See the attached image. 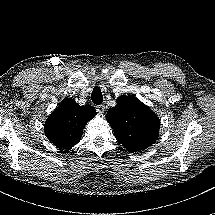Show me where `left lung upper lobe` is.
I'll list each match as a JSON object with an SVG mask.
<instances>
[{"label":"left lung upper lobe","instance_id":"left-lung-upper-lobe-1","mask_svg":"<svg viewBox=\"0 0 215 215\" xmlns=\"http://www.w3.org/2000/svg\"><path fill=\"white\" fill-rule=\"evenodd\" d=\"M116 139L130 152L144 150L158 138L160 120L157 115L133 96H121L106 115Z\"/></svg>","mask_w":215,"mask_h":215}]
</instances>
